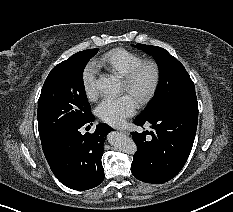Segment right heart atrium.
<instances>
[{
  "label": "right heart atrium",
  "mask_w": 233,
  "mask_h": 212,
  "mask_svg": "<svg viewBox=\"0 0 233 212\" xmlns=\"http://www.w3.org/2000/svg\"><path fill=\"white\" fill-rule=\"evenodd\" d=\"M97 69L93 63H89L82 71L81 81L86 97L89 100H94L98 96L96 84Z\"/></svg>",
  "instance_id": "obj_1"
}]
</instances>
